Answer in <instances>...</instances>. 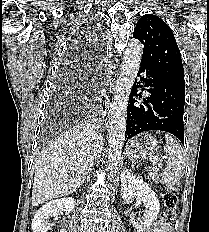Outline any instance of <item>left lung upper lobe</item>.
<instances>
[{
	"instance_id": "5c2ea615",
	"label": "left lung upper lobe",
	"mask_w": 209,
	"mask_h": 232,
	"mask_svg": "<svg viewBox=\"0 0 209 232\" xmlns=\"http://www.w3.org/2000/svg\"><path fill=\"white\" fill-rule=\"evenodd\" d=\"M133 37L143 45L142 61L162 76L184 83L180 50L169 26L152 14L143 15L137 22Z\"/></svg>"
}]
</instances>
